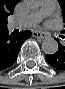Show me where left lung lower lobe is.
I'll list each match as a JSON object with an SVG mask.
<instances>
[{
  "mask_svg": "<svg viewBox=\"0 0 65 89\" xmlns=\"http://www.w3.org/2000/svg\"><path fill=\"white\" fill-rule=\"evenodd\" d=\"M56 41L59 45L58 51L52 55H45V59L51 66L59 70H65V44H61L58 39Z\"/></svg>",
  "mask_w": 65,
  "mask_h": 89,
  "instance_id": "obj_1",
  "label": "left lung lower lobe"
}]
</instances>
